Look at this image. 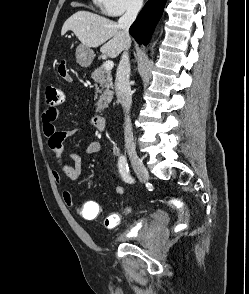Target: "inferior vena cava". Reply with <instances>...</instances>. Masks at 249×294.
<instances>
[{
    "label": "inferior vena cava",
    "mask_w": 249,
    "mask_h": 294,
    "mask_svg": "<svg viewBox=\"0 0 249 294\" xmlns=\"http://www.w3.org/2000/svg\"><path fill=\"white\" fill-rule=\"evenodd\" d=\"M142 0H132L128 6L125 14L119 18L118 26L121 29L125 41H124V52L119 62L116 79H115V92L117 95L118 102L121 103L125 113L124 119V141L125 146L128 148L134 147V139L132 132V124L130 119V108L132 104V92L129 83L130 77V63L128 56V49L130 48L131 41L129 36V28L136 19L138 12L142 7Z\"/></svg>",
    "instance_id": "inferior-vena-cava-1"
}]
</instances>
